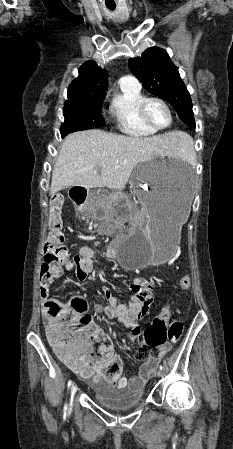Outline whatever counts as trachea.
<instances>
[{"instance_id":"obj_1","label":"trachea","mask_w":233,"mask_h":449,"mask_svg":"<svg viewBox=\"0 0 233 449\" xmlns=\"http://www.w3.org/2000/svg\"><path fill=\"white\" fill-rule=\"evenodd\" d=\"M107 8L110 9V10H114L115 6H107Z\"/></svg>"}]
</instances>
